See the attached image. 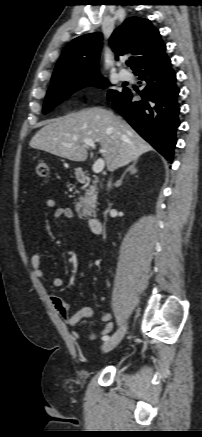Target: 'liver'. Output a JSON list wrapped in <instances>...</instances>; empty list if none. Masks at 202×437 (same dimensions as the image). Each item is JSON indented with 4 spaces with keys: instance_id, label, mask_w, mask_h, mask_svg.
Returning a JSON list of instances; mask_svg holds the SVG:
<instances>
[{
    "instance_id": "1",
    "label": "liver",
    "mask_w": 202,
    "mask_h": 437,
    "mask_svg": "<svg viewBox=\"0 0 202 437\" xmlns=\"http://www.w3.org/2000/svg\"><path fill=\"white\" fill-rule=\"evenodd\" d=\"M84 138L100 144L102 157L111 172L152 150L125 120L102 107L86 108L48 121L29 145L71 161L83 162L88 157Z\"/></svg>"
}]
</instances>
